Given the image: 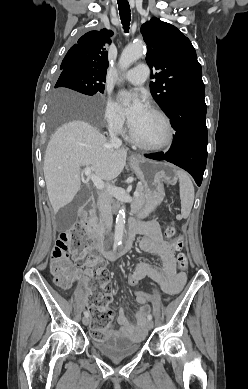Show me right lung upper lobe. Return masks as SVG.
<instances>
[{
  "instance_id": "1",
  "label": "right lung upper lobe",
  "mask_w": 248,
  "mask_h": 389,
  "mask_svg": "<svg viewBox=\"0 0 248 389\" xmlns=\"http://www.w3.org/2000/svg\"><path fill=\"white\" fill-rule=\"evenodd\" d=\"M112 31L102 29L84 34L67 52L60 68H76L106 78L108 59L105 45L111 43Z\"/></svg>"
}]
</instances>
